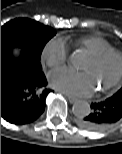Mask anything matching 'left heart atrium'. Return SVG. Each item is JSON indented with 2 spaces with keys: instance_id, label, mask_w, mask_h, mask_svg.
I'll return each mask as SVG.
<instances>
[{
  "instance_id": "obj_1",
  "label": "left heart atrium",
  "mask_w": 122,
  "mask_h": 154,
  "mask_svg": "<svg viewBox=\"0 0 122 154\" xmlns=\"http://www.w3.org/2000/svg\"><path fill=\"white\" fill-rule=\"evenodd\" d=\"M49 82L56 90L72 96H89L94 91V85L88 73L68 68L52 71L49 74Z\"/></svg>"
}]
</instances>
